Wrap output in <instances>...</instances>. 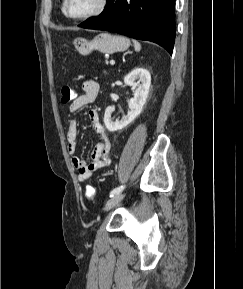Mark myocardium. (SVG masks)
I'll use <instances>...</instances> for the list:
<instances>
[{
    "mask_svg": "<svg viewBox=\"0 0 243 289\" xmlns=\"http://www.w3.org/2000/svg\"><path fill=\"white\" fill-rule=\"evenodd\" d=\"M107 6L108 0H100L98 7L94 11L81 16H74L69 11V0H64V13L73 20H86L102 14Z\"/></svg>",
    "mask_w": 243,
    "mask_h": 289,
    "instance_id": "1",
    "label": "myocardium"
}]
</instances>
